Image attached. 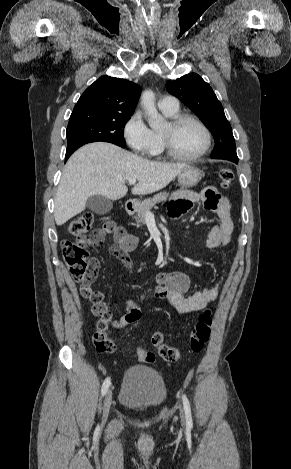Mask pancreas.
<instances>
[{
  "instance_id": "pancreas-1",
  "label": "pancreas",
  "mask_w": 291,
  "mask_h": 469,
  "mask_svg": "<svg viewBox=\"0 0 291 469\" xmlns=\"http://www.w3.org/2000/svg\"><path fill=\"white\" fill-rule=\"evenodd\" d=\"M168 193L162 192L159 193L153 198H148L141 202L138 207H137V216H135V220L137 223H144L145 217L147 213L151 210L152 207H154L157 203L166 201L168 198Z\"/></svg>"
}]
</instances>
